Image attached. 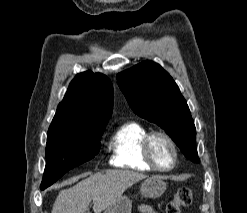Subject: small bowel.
<instances>
[{
  "instance_id": "1",
  "label": "small bowel",
  "mask_w": 247,
  "mask_h": 213,
  "mask_svg": "<svg viewBox=\"0 0 247 213\" xmlns=\"http://www.w3.org/2000/svg\"><path fill=\"white\" fill-rule=\"evenodd\" d=\"M141 213H158L152 206L150 205H141L139 207Z\"/></svg>"
}]
</instances>
